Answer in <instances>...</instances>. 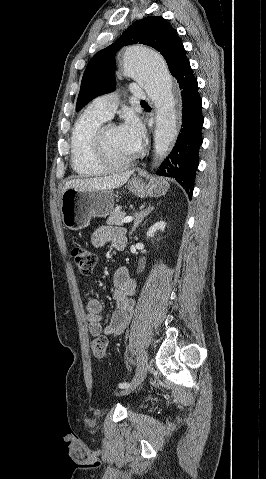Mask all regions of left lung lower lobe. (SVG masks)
Wrapping results in <instances>:
<instances>
[{"label":"left lung lower lobe","instance_id":"1","mask_svg":"<svg viewBox=\"0 0 266 479\" xmlns=\"http://www.w3.org/2000/svg\"><path fill=\"white\" fill-rule=\"evenodd\" d=\"M175 78L182 96V128L175 146L159 167L157 174L175 179L191 200L199 164V148L202 144V101L189 61L182 65Z\"/></svg>","mask_w":266,"mask_h":479}]
</instances>
